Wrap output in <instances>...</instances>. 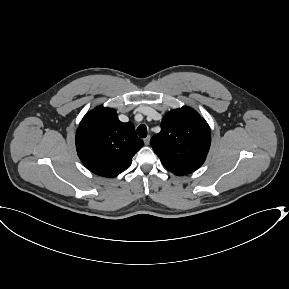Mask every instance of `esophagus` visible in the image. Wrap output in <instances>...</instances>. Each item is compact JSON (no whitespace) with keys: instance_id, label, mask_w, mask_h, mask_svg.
Listing matches in <instances>:
<instances>
[{"instance_id":"obj_1","label":"esophagus","mask_w":289,"mask_h":289,"mask_svg":"<svg viewBox=\"0 0 289 289\" xmlns=\"http://www.w3.org/2000/svg\"><path fill=\"white\" fill-rule=\"evenodd\" d=\"M144 143H145V145H149V143H150V136H147L146 138H144Z\"/></svg>"}]
</instances>
